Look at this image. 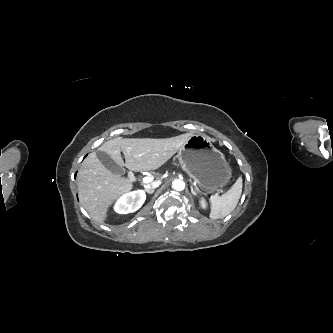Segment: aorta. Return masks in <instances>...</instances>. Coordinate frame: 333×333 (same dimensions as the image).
<instances>
[{
    "instance_id": "aorta-1",
    "label": "aorta",
    "mask_w": 333,
    "mask_h": 333,
    "mask_svg": "<svg viewBox=\"0 0 333 333\" xmlns=\"http://www.w3.org/2000/svg\"><path fill=\"white\" fill-rule=\"evenodd\" d=\"M172 186L175 190L181 191L185 188V182L183 180H175L173 181Z\"/></svg>"
}]
</instances>
